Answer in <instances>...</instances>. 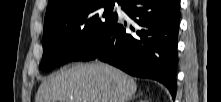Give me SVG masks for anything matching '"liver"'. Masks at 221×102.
Here are the masks:
<instances>
[{"mask_svg":"<svg viewBox=\"0 0 221 102\" xmlns=\"http://www.w3.org/2000/svg\"><path fill=\"white\" fill-rule=\"evenodd\" d=\"M136 91L132 77L96 62L63 69L44 80L35 102H128Z\"/></svg>","mask_w":221,"mask_h":102,"instance_id":"liver-1","label":"liver"}]
</instances>
